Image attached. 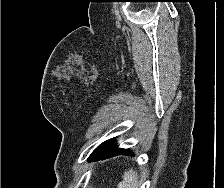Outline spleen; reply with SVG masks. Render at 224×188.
<instances>
[{
    "label": "spleen",
    "mask_w": 224,
    "mask_h": 188,
    "mask_svg": "<svg viewBox=\"0 0 224 188\" xmlns=\"http://www.w3.org/2000/svg\"><path fill=\"white\" fill-rule=\"evenodd\" d=\"M123 180L118 184L117 188H138L137 173L132 169L126 171L122 176Z\"/></svg>",
    "instance_id": "3e777b00"
}]
</instances>
